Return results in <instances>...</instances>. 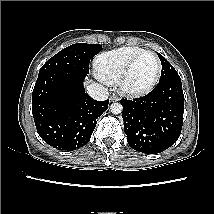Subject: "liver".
Returning <instances> with one entry per match:
<instances>
[{"instance_id": "6515ba94", "label": "liver", "mask_w": 214, "mask_h": 214, "mask_svg": "<svg viewBox=\"0 0 214 214\" xmlns=\"http://www.w3.org/2000/svg\"><path fill=\"white\" fill-rule=\"evenodd\" d=\"M88 83H90V81H89V80L87 81V84H88Z\"/></svg>"}]
</instances>
